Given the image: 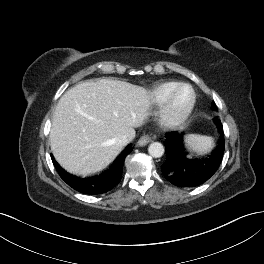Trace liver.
I'll return each mask as SVG.
<instances>
[{"label": "liver", "instance_id": "6515ba94", "mask_svg": "<svg viewBox=\"0 0 264 264\" xmlns=\"http://www.w3.org/2000/svg\"><path fill=\"white\" fill-rule=\"evenodd\" d=\"M152 105L150 92L127 82L85 81L66 91L53 115L51 151L57 162L76 174L106 168L122 151L116 138L135 137Z\"/></svg>", "mask_w": 264, "mask_h": 264}]
</instances>
